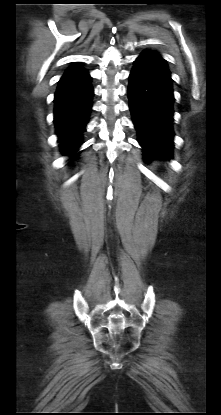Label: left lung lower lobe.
Returning <instances> with one entry per match:
<instances>
[{"label": "left lung lower lobe", "instance_id": "1", "mask_svg": "<svg viewBox=\"0 0 221 415\" xmlns=\"http://www.w3.org/2000/svg\"><path fill=\"white\" fill-rule=\"evenodd\" d=\"M129 107L146 160L172 157L174 95L163 59L142 53L129 76Z\"/></svg>", "mask_w": 221, "mask_h": 415}]
</instances>
